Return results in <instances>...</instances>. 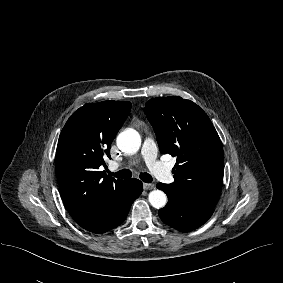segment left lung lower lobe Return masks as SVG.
<instances>
[{
  "instance_id": "1",
  "label": "left lung lower lobe",
  "mask_w": 283,
  "mask_h": 283,
  "mask_svg": "<svg viewBox=\"0 0 283 283\" xmlns=\"http://www.w3.org/2000/svg\"><path fill=\"white\" fill-rule=\"evenodd\" d=\"M157 188L168 196V203L159 210L161 220L183 232L202 226L213 214L214 209L197 204L183 192L171 190L167 184L158 183Z\"/></svg>"
}]
</instances>
